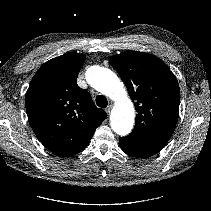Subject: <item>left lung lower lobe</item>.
<instances>
[{
    "label": "left lung lower lobe",
    "instance_id": "left-lung-lower-lobe-1",
    "mask_svg": "<svg viewBox=\"0 0 211 211\" xmlns=\"http://www.w3.org/2000/svg\"><path fill=\"white\" fill-rule=\"evenodd\" d=\"M168 141L169 139L166 138H150L135 135L119 138L121 149L126 154L138 158H147L158 153Z\"/></svg>",
    "mask_w": 211,
    "mask_h": 211
}]
</instances>
